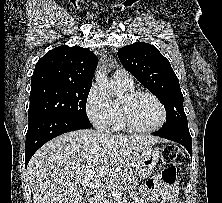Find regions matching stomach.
Returning a JSON list of instances; mask_svg holds the SVG:
<instances>
[{"instance_id": "0dacf381", "label": "stomach", "mask_w": 222, "mask_h": 203, "mask_svg": "<svg viewBox=\"0 0 222 203\" xmlns=\"http://www.w3.org/2000/svg\"><path fill=\"white\" fill-rule=\"evenodd\" d=\"M161 152L157 147L148 149L139 164L134 169V184L149 177L159 161Z\"/></svg>"}]
</instances>
